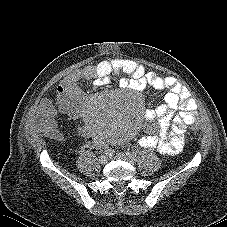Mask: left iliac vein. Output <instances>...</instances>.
Masks as SVG:
<instances>
[{"mask_svg": "<svg viewBox=\"0 0 227 227\" xmlns=\"http://www.w3.org/2000/svg\"><path fill=\"white\" fill-rule=\"evenodd\" d=\"M117 158L128 161L132 164L136 162V158L131 153H117Z\"/></svg>", "mask_w": 227, "mask_h": 227, "instance_id": "4c4485c4", "label": "left iliac vein"}]
</instances>
